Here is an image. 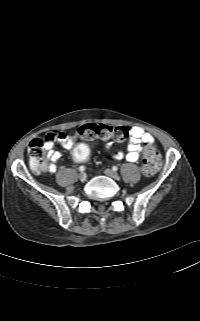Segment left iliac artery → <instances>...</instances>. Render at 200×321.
I'll use <instances>...</instances> for the list:
<instances>
[{
  "mask_svg": "<svg viewBox=\"0 0 200 321\" xmlns=\"http://www.w3.org/2000/svg\"><path fill=\"white\" fill-rule=\"evenodd\" d=\"M114 171H117L118 170V167L117 166H113L112 168Z\"/></svg>",
  "mask_w": 200,
  "mask_h": 321,
  "instance_id": "1",
  "label": "left iliac artery"
}]
</instances>
